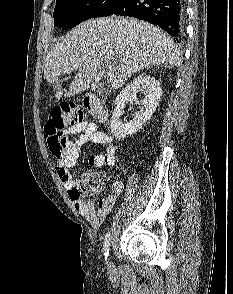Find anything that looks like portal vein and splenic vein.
Here are the masks:
<instances>
[{"instance_id":"1","label":"portal vein and splenic vein","mask_w":233,"mask_h":294,"mask_svg":"<svg viewBox=\"0 0 233 294\" xmlns=\"http://www.w3.org/2000/svg\"><path fill=\"white\" fill-rule=\"evenodd\" d=\"M107 67V69L109 70V71H112L113 69H114V67L113 66H106Z\"/></svg>"}]
</instances>
